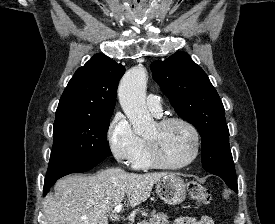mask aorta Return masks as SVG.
Segmentation results:
<instances>
[{
  "label": "aorta",
  "instance_id": "762f6f07",
  "mask_svg": "<svg viewBox=\"0 0 275 224\" xmlns=\"http://www.w3.org/2000/svg\"><path fill=\"white\" fill-rule=\"evenodd\" d=\"M146 83L145 70L134 67L126 72L118 88L120 105L138 135L146 132L153 123L145 102Z\"/></svg>",
  "mask_w": 275,
  "mask_h": 224
}]
</instances>
